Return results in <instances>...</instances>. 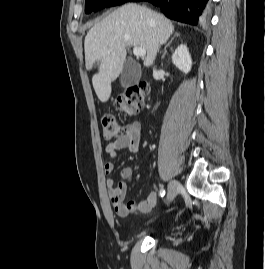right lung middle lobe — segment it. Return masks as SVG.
Returning a JSON list of instances; mask_svg holds the SVG:
<instances>
[{"label":"right lung middle lobe","instance_id":"1","mask_svg":"<svg viewBox=\"0 0 265 269\" xmlns=\"http://www.w3.org/2000/svg\"><path fill=\"white\" fill-rule=\"evenodd\" d=\"M129 0H86V13L97 11L105 7L117 6L128 2Z\"/></svg>","mask_w":265,"mask_h":269}]
</instances>
